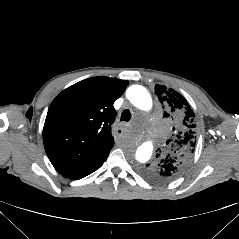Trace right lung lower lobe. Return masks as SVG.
<instances>
[{"instance_id": "obj_1", "label": "right lung lower lobe", "mask_w": 239, "mask_h": 239, "mask_svg": "<svg viewBox=\"0 0 239 239\" xmlns=\"http://www.w3.org/2000/svg\"><path fill=\"white\" fill-rule=\"evenodd\" d=\"M111 150V149H110ZM109 151H107L106 153H104L102 156H100L97 160H95L93 163H91L89 166H87L86 168L74 173L73 175L67 177L70 179H81L89 174H91L92 172L96 171L98 168L101 167V165L104 163V161L107 159L108 155H109Z\"/></svg>"}]
</instances>
